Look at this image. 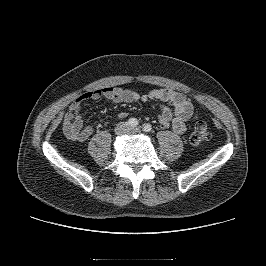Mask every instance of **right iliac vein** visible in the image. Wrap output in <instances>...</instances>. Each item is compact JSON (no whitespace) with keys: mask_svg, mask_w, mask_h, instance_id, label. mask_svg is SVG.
<instances>
[{"mask_svg":"<svg viewBox=\"0 0 266 266\" xmlns=\"http://www.w3.org/2000/svg\"><path fill=\"white\" fill-rule=\"evenodd\" d=\"M128 131V125L126 123H119L116 127H115V133L119 136L124 135L125 133H127Z\"/></svg>","mask_w":266,"mask_h":266,"instance_id":"obj_1","label":"right iliac vein"}]
</instances>
